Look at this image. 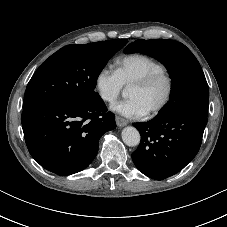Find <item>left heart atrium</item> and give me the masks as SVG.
Wrapping results in <instances>:
<instances>
[{"instance_id":"1","label":"left heart atrium","mask_w":227,"mask_h":227,"mask_svg":"<svg viewBox=\"0 0 227 227\" xmlns=\"http://www.w3.org/2000/svg\"><path fill=\"white\" fill-rule=\"evenodd\" d=\"M111 109L123 117L136 119L143 117L147 111L136 98H128L126 100L115 103Z\"/></svg>"}]
</instances>
